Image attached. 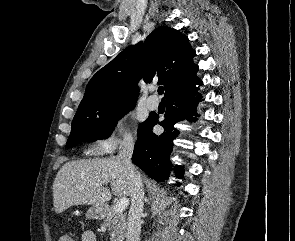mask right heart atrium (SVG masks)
<instances>
[{"mask_svg": "<svg viewBox=\"0 0 295 241\" xmlns=\"http://www.w3.org/2000/svg\"><path fill=\"white\" fill-rule=\"evenodd\" d=\"M131 141L132 136L126 127L124 117L118 116L107 124L96 145L101 153H111L118 144H128Z\"/></svg>", "mask_w": 295, "mask_h": 241, "instance_id": "1", "label": "right heart atrium"}]
</instances>
